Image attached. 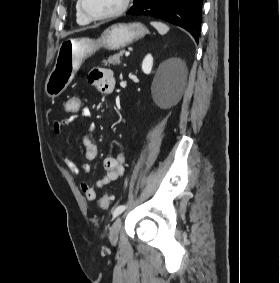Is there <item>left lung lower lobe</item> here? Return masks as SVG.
I'll use <instances>...</instances> for the list:
<instances>
[{"mask_svg": "<svg viewBox=\"0 0 280 283\" xmlns=\"http://www.w3.org/2000/svg\"><path fill=\"white\" fill-rule=\"evenodd\" d=\"M203 0H136L128 15H148L186 29L199 41Z\"/></svg>", "mask_w": 280, "mask_h": 283, "instance_id": "0a47b994", "label": "left lung lower lobe"}]
</instances>
